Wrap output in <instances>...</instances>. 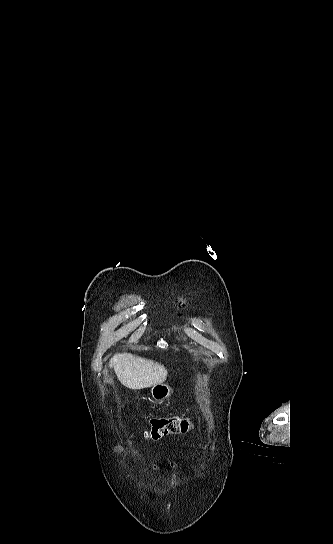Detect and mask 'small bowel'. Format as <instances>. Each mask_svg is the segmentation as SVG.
Instances as JSON below:
<instances>
[{"label":"small bowel","instance_id":"c3829d8e","mask_svg":"<svg viewBox=\"0 0 333 544\" xmlns=\"http://www.w3.org/2000/svg\"><path fill=\"white\" fill-rule=\"evenodd\" d=\"M153 468H154V469H157L158 467H157V466H154Z\"/></svg>","mask_w":333,"mask_h":544}]
</instances>
